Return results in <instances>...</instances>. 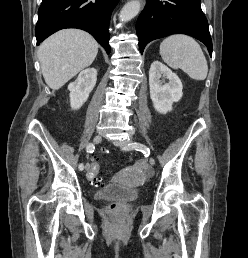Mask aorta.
I'll return each instance as SVG.
<instances>
[{
	"instance_id": "aorta-1",
	"label": "aorta",
	"mask_w": 248,
	"mask_h": 258,
	"mask_svg": "<svg viewBox=\"0 0 248 258\" xmlns=\"http://www.w3.org/2000/svg\"><path fill=\"white\" fill-rule=\"evenodd\" d=\"M140 2L138 0H132L127 3L120 12L119 20L121 22H128L133 19L140 11Z\"/></svg>"
}]
</instances>
